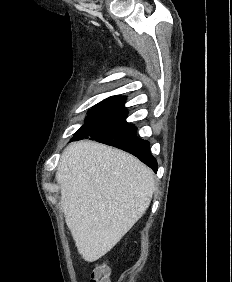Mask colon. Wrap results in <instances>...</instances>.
<instances>
[{
    "label": "colon",
    "instance_id": "obj_1",
    "mask_svg": "<svg viewBox=\"0 0 232 282\" xmlns=\"http://www.w3.org/2000/svg\"><path fill=\"white\" fill-rule=\"evenodd\" d=\"M89 282H109V271L105 265L97 266L90 274Z\"/></svg>",
    "mask_w": 232,
    "mask_h": 282
}]
</instances>
